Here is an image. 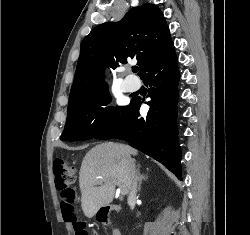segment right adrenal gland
Returning <instances> with one entry per match:
<instances>
[{
  "mask_svg": "<svg viewBox=\"0 0 250 235\" xmlns=\"http://www.w3.org/2000/svg\"><path fill=\"white\" fill-rule=\"evenodd\" d=\"M137 175H138V189L137 190L140 191L142 181L146 180L148 178V176L140 173V165L137 166Z\"/></svg>",
  "mask_w": 250,
  "mask_h": 235,
  "instance_id": "obj_1",
  "label": "right adrenal gland"
}]
</instances>
